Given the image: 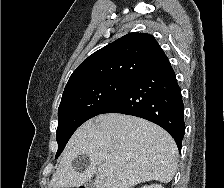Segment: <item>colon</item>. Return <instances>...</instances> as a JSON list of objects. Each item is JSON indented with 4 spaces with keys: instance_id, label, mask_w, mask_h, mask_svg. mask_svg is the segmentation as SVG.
Instances as JSON below:
<instances>
[{
    "instance_id": "5ec220e1",
    "label": "colon",
    "mask_w": 224,
    "mask_h": 188,
    "mask_svg": "<svg viewBox=\"0 0 224 188\" xmlns=\"http://www.w3.org/2000/svg\"><path fill=\"white\" fill-rule=\"evenodd\" d=\"M79 188H85V187L81 186V187H79Z\"/></svg>"
}]
</instances>
